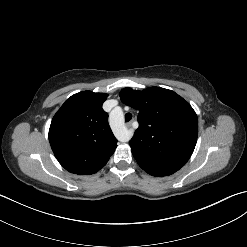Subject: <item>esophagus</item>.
Segmentation results:
<instances>
[{"label": "esophagus", "mask_w": 247, "mask_h": 247, "mask_svg": "<svg viewBox=\"0 0 247 247\" xmlns=\"http://www.w3.org/2000/svg\"><path fill=\"white\" fill-rule=\"evenodd\" d=\"M131 122L126 123L127 126H130Z\"/></svg>", "instance_id": "esophagus-1"}]
</instances>
